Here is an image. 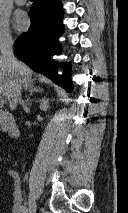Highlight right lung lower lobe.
Here are the masks:
<instances>
[{"instance_id":"1","label":"right lung lower lobe","mask_w":128,"mask_h":213,"mask_svg":"<svg viewBox=\"0 0 128 213\" xmlns=\"http://www.w3.org/2000/svg\"><path fill=\"white\" fill-rule=\"evenodd\" d=\"M31 25L27 33H23L15 42L17 56L30 67L44 73L54 83L62 86L68 92L73 90L69 77V63H63L66 68L63 75H58L56 63L47 56L49 51L58 53L60 45L58 38L63 32V10L60 0H35L30 9Z\"/></svg>"}]
</instances>
